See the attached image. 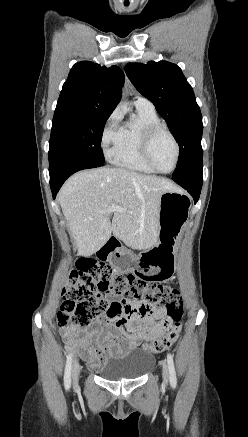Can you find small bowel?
Wrapping results in <instances>:
<instances>
[{
	"label": "small bowel",
	"mask_w": 248,
	"mask_h": 437,
	"mask_svg": "<svg viewBox=\"0 0 248 437\" xmlns=\"http://www.w3.org/2000/svg\"><path fill=\"white\" fill-rule=\"evenodd\" d=\"M100 299L112 303L88 329L65 327L60 334L65 343L77 349L92 370H100L107 359L119 357L164 334L165 307L130 299L129 294L96 292ZM121 314V316H120Z\"/></svg>",
	"instance_id": "obj_1"
}]
</instances>
